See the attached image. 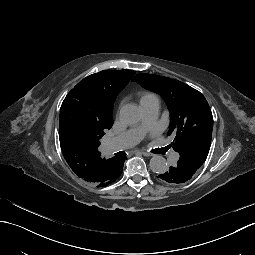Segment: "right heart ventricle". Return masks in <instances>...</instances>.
I'll use <instances>...</instances> for the list:
<instances>
[{
    "label": "right heart ventricle",
    "instance_id": "obj_1",
    "mask_svg": "<svg viewBox=\"0 0 255 255\" xmlns=\"http://www.w3.org/2000/svg\"><path fill=\"white\" fill-rule=\"evenodd\" d=\"M154 101L159 102V99H158L157 95L153 92H145L140 98V105L150 103V102H154Z\"/></svg>",
    "mask_w": 255,
    "mask_h": 255
}]
</instances>
